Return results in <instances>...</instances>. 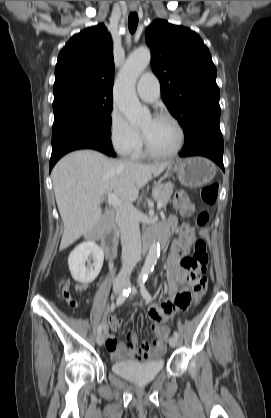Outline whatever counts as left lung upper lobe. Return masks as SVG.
Segmentation results:
<instances>
[{
    "instance_id": "1",
    "label": "left lung upper lobe",
    "mask_w": 271,
    "mask_h": 418,
    "mask_svg": "<svg viewBox=\"0 0 271 418\" xmlns=\"http://www.w3.org/2000/svg\"><path fill=\"white\" fill-rule=\"evenodd\" d=\"M162 99L185 132L219 126L216 68L202 39L189 28L155 20L145 32Z\"/></svg>"
}]
</instances>
